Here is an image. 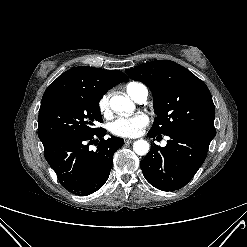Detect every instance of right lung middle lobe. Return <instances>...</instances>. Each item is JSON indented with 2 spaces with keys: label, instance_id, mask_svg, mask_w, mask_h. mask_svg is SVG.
Here are the masks:
<instances>
[{
  "label": "right lung middle lobe",
  "instance_id": "obj_1",
  "mask_svg": "<svg viewBox=\"0 0 247 247\" xmlns=\"http://www.w3.org/2000/svg\"><path fill=\"white\" fill-rule=\"evenodd\" d=\"M103 93L80 91L62 95L41 104L38 137L43 144L69 135L94 133L96 122H102L98 106Z\"/></svg>",
  "mask_w": 247,
  "mask_h": 247
}]
</instances>
